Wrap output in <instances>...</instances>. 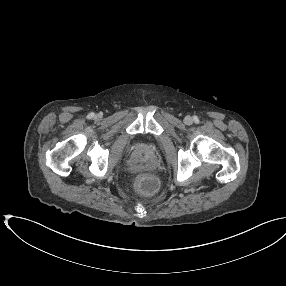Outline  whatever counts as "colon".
Instances as JSON below:
<instances>
[{
	"label": "colon",
	"mask_w": 286,
	"mask_h": 286,
	"mask_svg": "<svg viewBox=\"0 0 286 286\" xmlns=\"http://www.w3.org/2000/svg\"><path fill=\"white\" fill-rule=\"evenodd\" d=\"M157 187L158 183L151 175H140L136 182V188L143 194H152Z\"/></svg>",
	"instance_id": "colon-1"
}]
</instances>
